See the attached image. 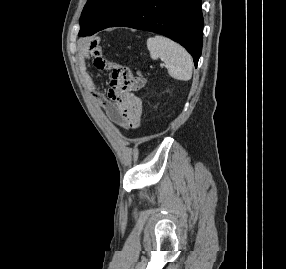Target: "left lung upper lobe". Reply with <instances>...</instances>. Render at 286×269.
<instances>
[{"instance_id":"left-lung-upper-lobe-1","label":"left lung upper lobe","mask_w":286,"mask_h":269,"mask_svg":"<svg viewBox=\"0 0 286 269\" xmlns=\"http://www.w3.org/2000/svg\"><path fill=\"white\" fill-rule=\"evenodd\" d=\"M143 0H88L80 17L79 36H90L115 23Z\"/></svg>"}]
</instances>
